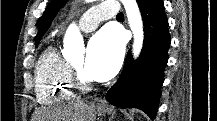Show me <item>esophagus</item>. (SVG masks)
<instances>
[{
    "label": "esophagus",
    "instance_id": "1",
    "mask_svg": "<svg viewBox=\"0 0 217 121\" xmlns=\"http://www.w3.org/2000/svg\"><path fill=\"white\" fill-rule=\"evenodd\" d=\"M98 105H99V106H106V105H107V102H106L105 98H101V99L98 101Z\"/></svg>",
    "mask_w": 217,
    "mask_h": 121
}]
</instances>
